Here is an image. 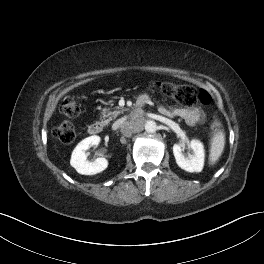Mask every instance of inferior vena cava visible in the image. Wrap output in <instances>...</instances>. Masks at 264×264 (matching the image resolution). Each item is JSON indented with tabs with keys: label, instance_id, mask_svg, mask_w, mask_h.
I'll use <instances>...</instances> for the list:
<instances>
[{
	"label": "inferior vena cava",
	"instance_id": "obj_1",
	"mask_svg": "<svg viewBox=\"0 0 264 264\" xmlns=\"http://www.w3.org/2000/svg\"><path fill=\"white\" fill-rule=\"evenodd\" d=\"M124 122H125L124 119L115 120V121L112 123V129H113V130H117L118 128H121Z\"/></svg>",
	"mask_w": 264,
	"mask_h": 264
}]
</instances>
